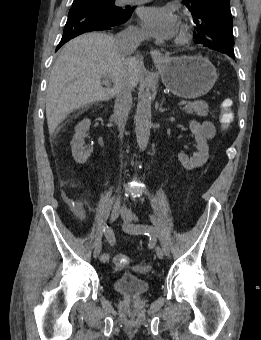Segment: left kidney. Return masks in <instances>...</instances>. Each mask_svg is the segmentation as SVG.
Wrapping results in <instances>:
<instances>
[{"label":"left kidney","instance_id":"obj_1","mask_svg":"<svg viewBox=\"0 0 261 340\" xmlns=\"http://www.w3.org/2000/svg\"><path fill=\"white\" fill-rule=\"evenodd\" d=\"M189 125L191 132L195 135L198 151L194 153L191 158L184 153H179L178 158L185 169L192 170L194 168L201 167L207 162L209 157V147L207 140L202 134L200 124L195 120H191Z\"/></svg>","mask_w":261,"mask_h":340}]
</instances>
